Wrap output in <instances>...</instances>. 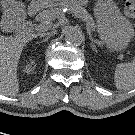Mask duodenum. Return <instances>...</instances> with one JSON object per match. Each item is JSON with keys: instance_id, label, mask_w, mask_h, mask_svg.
Returning <instances> with one entry per match:
<instances>
[{"instance_id": "1", "label": "duodenum", "mask_w": 135, "mask_h": 135, "mask_svg": "<svg viewBox=\"0 0 135 135\" xmlns=\"http://www.w3.org/2000/svg\"><path fill=\"white\" fill-rule=\"evenodd\" d=\"M32 22L30 20L22 22H14L13 20H7L4 23L5 29L17 36H24L32 29Z\"/></svg>"}]
</instances>
